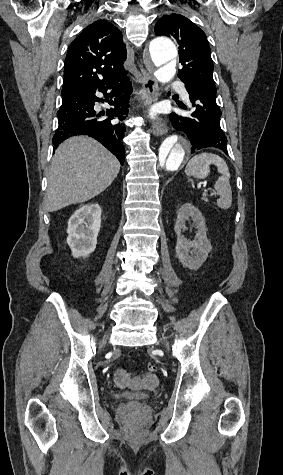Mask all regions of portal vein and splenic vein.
Returning a JSON list of instances; mask_svg holds the SVG:
<instances>
[{
    "label": "portal vein and splenic vein",
    "instance_id": "1",
    "mask_svg": "<svg viewBox=\"0 0 283 475\" xmlns=\"http://www.w3.org/2000/svg\"><path fill=\"white\" fill-rule=\"evenodd\" d=\"M209 193H211V194H209ZM216 193H217V192H216V190H214V189L211 190V192H209V190H207V189H204V190H201V191H200V194H201V195H204L205 198H209V197L214 198L215 195H216Z\"/></svg>",
    "mask_w": 283,
    "mask_h": 475
}]
</instances>
